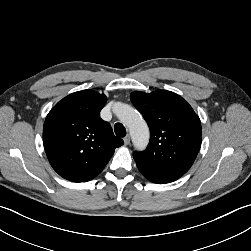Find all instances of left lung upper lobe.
<instances>
[{"instance_id": "obj_1", "label": "left lung upper lobe", "mask_w": 251, "mask_h": 251, "mask_svg": "<svg viewBox=\"0 0 251 251\" xmlns=\"http://www.w3.org/2000/svg\"><path fill=\"white\" fill-rule=\"evenodd\" d=\"M130 98L151 132L146 150L133 153L137 166L184 175L201 146L197 114L186 100L171 91L133 92Z\"/></svg>"}]
</instances>
